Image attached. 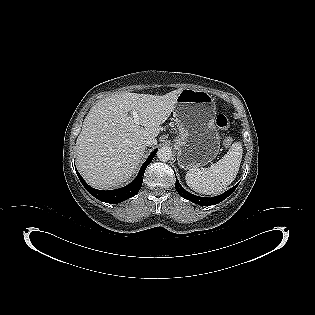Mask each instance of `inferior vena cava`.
Instances as JSON below:
<instances>
[{"label": "inferior vena cava", "instance_id": "1", "mask_svg": "<svg viewBox=\"0 0 315 315\" xmlns=\"http://www.w3.org/2000/svg\"><path fill=\"white\" fill-rule=\"evenodd\" d=\"M142 143L145 146H152L155 143V139H153L152 137H145L143 138Z\"/></svg>", "mask_w": 315, "mask_h": 315}]
</instances>
